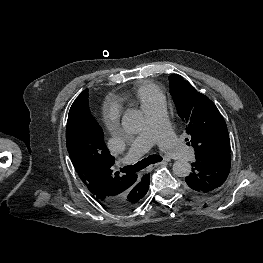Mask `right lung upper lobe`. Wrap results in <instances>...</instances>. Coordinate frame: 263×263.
Instances as JSON below:
<instances>
[{
  "mask_svg": "<svg viewBox=\"0 0 263 263\" xmlns=\"http://www.w3.org/2000/svg\"><path fill=\"white\" fill-rule=\"evenodd\" d=\"M87 92V96H86ZM66 146L71 162L88 190L104 206L108 202H123V211L136 207L148 191L144 176L114 173L111 156L104 142V134L92 117L88 106V90H84L72 104L66 127Z\"/></svg>",
  "mask_w": 263,
  "mask_h": 263,
  "instance_id": "1",
  "label": "right lung upper lobe"
}]
</instances>
